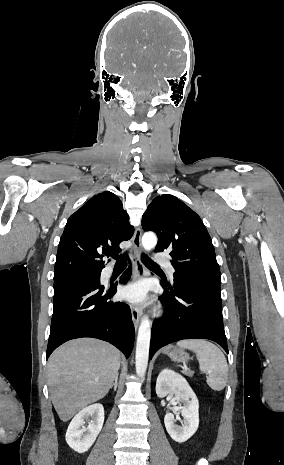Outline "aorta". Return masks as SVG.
I'll list each match as a JSON object with an SVG mask.
<instances>
[{
	"label": "aorta",
	"instance_id": "obj_1",
	"mask_svg": "<svg viewBox=\"0 0 284 465\" xmlns=\"http://www.w3.org/2000/svg\"><path fill=\"white\" fill-rule=\"evenodd\" d=\"M157 244V237L152 232H147L142 237V246L146 251H150ZM151 338V323L148 316L142 317L136 344V355H135V366L136 373L140 378H143L146 373L148 357H149V346Z\"/></svg>",
	"mask_w": 284,
	"mask_h": 465
}]
</instances>
